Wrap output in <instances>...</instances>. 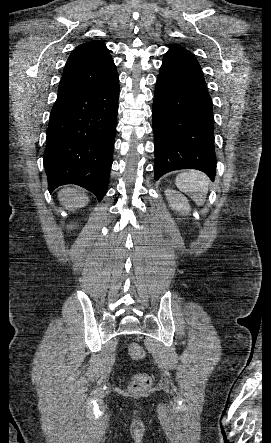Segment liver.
I'll return each instance as SVG.
<instances>
[{"instance_id": "liver-1", "label": "liver", "mask_w": 271, "mask_h": 443, "mask_svg": "<svg viewBox=\"0 0 271 443\" xmlns=\"http://www.w3.org/2000/svg\"><path fill=\"white\" fill-rule=\"evenodd\" d=\"M59 202L65 206V208H83L89 202V198L84 196V194H79L77 190H72V188H66V190H61L58 194Z\"/></svg>"}]
</instances>
